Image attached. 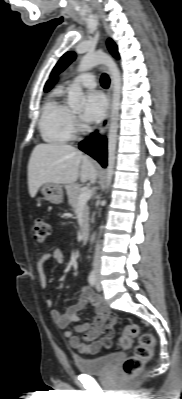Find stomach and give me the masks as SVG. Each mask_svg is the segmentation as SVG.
<instances>
[{"label": "stomach", "instance_id": "1", "mask_svg": "<svg viewBox=\"0 0 182 399\" xmlns=\"http://www.w3.org/2000/svg\"><path fill=\"white\" fill-rule=\"evenodd\" d=\"M40 192L53 204H61L63 202V189L60 184L44 183L40 187Z\"/></svg>", "mask_w": 182, "mask_h": 399}]
</instances>
